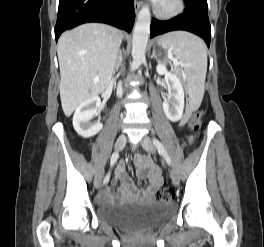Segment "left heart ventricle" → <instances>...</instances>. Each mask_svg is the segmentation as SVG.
I'll list each match as a JSON object with an SVG mask.
<instances>
[{
  "instance_id": "obj_1",
  "label": "left heart ventricle",
  "mask_w": 264,
  "mask_h": 247,
  "mask_svg": "<svg viewBox=\"0 0 264 247\" xmlns=\"http://www.w3.org/2000/svg\"><path fill=\"white\" fill-rule=\"evenodd\" d=\"M168 1H169V0H162V1H161V2H162V3H161L162 7H164V8L167 7V6L169 5V4H168Z\"/></svg>"
}]
</instances>
